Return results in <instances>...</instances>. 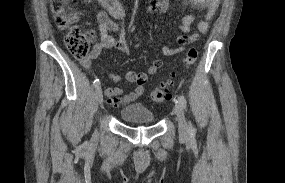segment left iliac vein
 <instances>
[{
	"label": "left iliac vein",
	"mask_w": 285,
	"mask_h": 183,
	"mask_svg": "<svg viewBox=\"0 0 285 183\" xmlns=\"http://www.w3.org/2000/svg\"><path fill=\"white\" fill-rule=\"evenodd\" d=\"M174 112L178 121V130L179 135L182 138H187L189 135L188 125L185 120V115L182 106L179 103H176L174 106Z\"/></svg>",
	"instance_id": "4c4485c4"
}]
</instances>
